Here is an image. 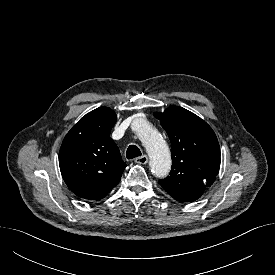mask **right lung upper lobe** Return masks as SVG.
Instances as JSON below:
<instances>
[{
  "instance_id": "cb5924a9",
  "label": "right lung upper lobe",
  "mask_w": 275,
  "mask_h": 275,
  "mask_svg": "<svg viewBox=\"0 0 275 275\" xmlns=\"http://www.w3.org/2000/svg\"><path fill=\"white\" fill-rule=\"evenodd\" d=\"M115 112L97 108L82 117L65 136L59 165L68 188L88 200L104 198L120 181L126 163L110 138Z\"/></svg>"
}]
</instances>
